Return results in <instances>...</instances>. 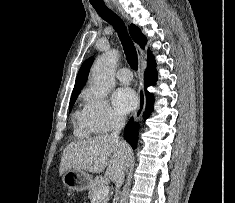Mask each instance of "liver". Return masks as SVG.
Returning a JSON list of instances; mask_svg holds the SVG:
<instances>
[{"instance_id":"liver-1","label":"liver","mask_w":235,"mask_h":203,"mask_svg":"<svg viewBox=\"0 0 235 203\" xmlns=\"http://www.w3.org/2000/svg\"><path fill=\"white\" fill-rule=\"evenodd\" d=\"M132 159L131 147L110 135H98L72 142L66 146L61 157L59 174L70 169L101 173L116 182L129 166Z\"/></svg>"}]
</instances>
